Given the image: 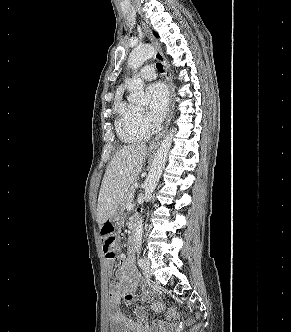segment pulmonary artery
Listing matches in <instances>:
<instances>
[{"instance_id":"pulmonary-artery-1","label":"pulmonary artery","mask_w":291,"mask_h":332,"mask_svg":"<svg viewBox=\"0 0 291 332\" xmlns=\"http://www.w3.org/2000/svg\"><path fill=\"white\" fill-rule=\"evenodd\" d=\"M139 76L143 80L151 81L154 80L157 77L155 68L152 66H145L141 69Z\"/></svg>"}]
</instances>
